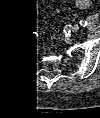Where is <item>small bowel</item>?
<instances>
[{"label":"small bowel","instance_id":"c3829d8e","mask_svg":"<svg viewBox=\"0 0 100 118\" xmlns=\"http://www.w3.org/2000/svg\"><path fill=\"white\" fill-rule=\"evenodd\" d=\"M74 2L79 9H86L90 4V0H74Z\"/></svg>","mask_w":100,"mask_h":118}]
</instances>
